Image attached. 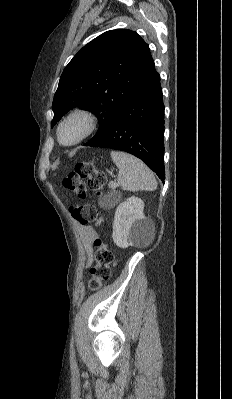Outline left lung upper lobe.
<instances>
[{
  "label": "left lung upper lobe",
  "instance_id": "5c2ea615",
  "mask_svg": "<svg viewBox=\"0 0 232 399\" xmlns=\"http://www.w3.org/2000/svg\"><path fill=\"white\" fill-rule=\"evenodd\" d=\"M149 55L148 44L131 30H110L93 39L60 77L51 127L71 108H85L98 117L99 129L84 145L98 141L132 93Z\"/></svg>",
  "mask_w": 232,
  "mask_h": 399
}]
</instances>
